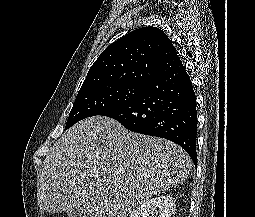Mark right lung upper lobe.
<instances>
[{"label":"right lung upper lobe","instance_id":"obj_1","mask_svg":"<svg viewBox=\"0 0 255 217\" xmlns=\"http://www.w3.org/2000/svg\"><path fill=\"white\" fill-rule=\"evenodd\" d=\"M181 67L168 36L156 27H142L113 42L100 54L79 92L111 84L148 85Z\"/></svg>","mask_w":255,"mask_h":217}]
</instances>
